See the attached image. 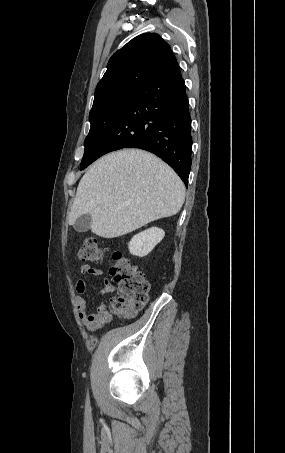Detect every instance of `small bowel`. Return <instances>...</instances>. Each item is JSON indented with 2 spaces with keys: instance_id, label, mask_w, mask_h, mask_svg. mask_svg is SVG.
<instances>
[{
  "instance_id": "small-bowel-1",
  "label": "small bowel",
  "mask_w": 285,
  "mask_h": 453,
  "mask_svg": "<svg viewBox=\"0 0 285 453\" xmlns=\"http://www.w3.org/2000/svg\"><path fill=\"white\" fill-rule=\"evenodd\" d=\"M80 273L82 275H92V276H102L103 272L89 265H83L80 268ZM104 289L102 290V295H107L114 290L112 282L104 278L103 280ZM75 290L78 295L75 298L76 307L78 310V316L83 325L91 332L96 331L102 328L106 323H108L113 315L121 316L123 313L116 306L115 300L109 299L108 302H102L95 311L88 313L87 312V302L83 298V294L87 291V284L83 280H79L75 284Z\"/></svg>"
}]
</instances>
